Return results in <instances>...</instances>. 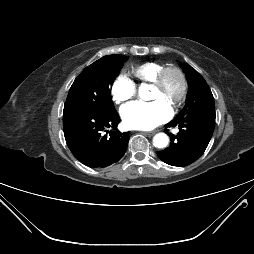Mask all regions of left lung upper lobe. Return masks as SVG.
Here are the masks:
<instances>
[{
	"mask_svg": "<svg viewBox=\"0 0 254 254\" xmlns=\"http://www.w3.org/2000/svg\"><path fill=\"white\" fill-rule=\"evenodd\" d=\"M181 66L186 73L189 87L186 103L181 111H185L195 105L206 108H215L212 92L204 78L189 65L181 63Z\"/></svg>",
	"mask_w": 254,
	"mask_h": 254,
	"instance_id": "left-lung-upper-lobe-1",
	"label": "left lung upper lobe"
}]
</instances>
